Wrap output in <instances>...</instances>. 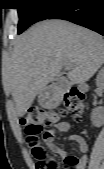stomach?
Masks as SVG:
<instances>
[{
	"instance_id": "1",
	"label": "stomach",
	"mask_w": 104,
	"mask_h": 169,
	"mask_svg": "<svg viewBox=\"0 0 104 169\" xmlns=\"http://www.w3.org/2000/svg\"><path fill=\"white\" fill-rule=\"evenodd\" d=\"M39 101L44 105V106H49L52 101H53V97L50 96V97H46L44 92H41L40 93V96H39Z\"/></svg>"
}]
</instances>
